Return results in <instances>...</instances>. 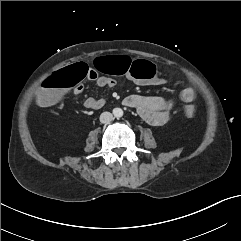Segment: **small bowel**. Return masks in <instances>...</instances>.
<instances>
[{
    "label": "small bowel",
    "instance_id": "obj_1",
    "mask_svg": "<svg viewBox=\"0 0 241 241\" xmlns=\"http://www.w3.org/2000/svg\"><path fill=\"white\" fill-rule=\"evenodd\" d=\"M87 79L95 81L97 86L102 88H114L117 81L107 75H101L95 71L94 67H90V73ZM165 83L163 78L154 77L145 81L144 85H162ZM83 86L79 83L74 89L75 95L83 92ZM196 92L192 87L184 88L180 93L183 102H191L195 99ZM106 104L104 97H88L84 100V107L89 110H98ZM123 104L127 107L134 108L141 119L153 126L165 125L170 119V111L174 105L173 99L160 96H146L139 94H131L127 96Z\"/></svg>",
    "mask_w": 241,
    "mask_h": 241
}]
</instances>
